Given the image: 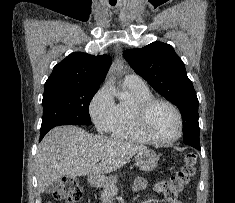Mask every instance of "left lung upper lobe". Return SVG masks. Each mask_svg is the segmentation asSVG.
Masks as SVG:
<instances>
[{
    "instance_id": "obj_1",
    "label": "left lung upper lobe",
    "mask_w": 235,
    "mask_h": 203,
    "mask_svg": "<svg viewBox=\"0 0 235 203\" xmlns=\"http://www.w3.org/2000/svg\"><path fill=\"white\" fill-rule=\"evenodd\" d=\"M123 56L137 74L178 107L183 118V133L191 132L194 143L200 144L198 99L184 63L173 47L153 42L141 49L126 50Z\"/></svg>"
}]
</instances>
